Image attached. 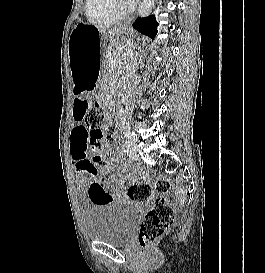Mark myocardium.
Masks as SVG:
<instances>
[{
    "mask_svg": "<svg viewBox=\"0 0 265 273\" xmlns=\"http://www.w3.org/2000/svg\"><path fill=\"white\" fill-rule=\"evenodd\" d=\"M114 9H116L121 16H125L132 9L131 4H128L126 0H111Z\"/></svg>",
    "mask_w": 265,
    "mask_h": 273,
    "instance_id": "myocardium-1",
    "label": "myocardium"
}]
</instances>
